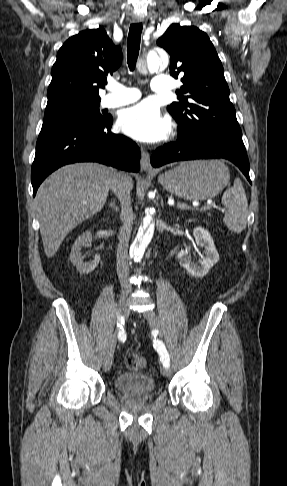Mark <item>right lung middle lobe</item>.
<instances>
[{
  "label": "right lung middle lobe",
  "instance_id": "1",
  "mask_svg": "<svg viewBox=\"0 0 287 486\" xmlns=\"http://www.w3.org/2000/svg\"><path fill=\"white\" fill-rule=\"evenodd\" d=\"M99 104L100 100H85L46 107L40 133L98 123L105 117Z\"/></svg>",
  "mask_w": 287,
  "mask_h": 486
}]
</instances>
